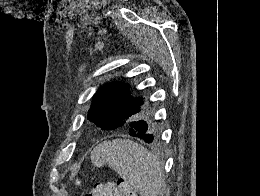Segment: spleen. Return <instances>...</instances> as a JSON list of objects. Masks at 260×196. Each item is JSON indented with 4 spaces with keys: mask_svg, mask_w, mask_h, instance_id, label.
Segmentation results:
<instances>
[{
    "mask_svg": "<svg viewBox=\"0 0 260 196\" xmlns=\"http://www.w3.org/2000/svg\"><path fill=\"white\" fill-rule=\"evenodd\" d=\"M95 168L108 166L123 178L139 196H157L163 188L164 172L156 156L141 144L116 138L105 140L91 152Z\"/></svg>",
    "mask_w": 260,
    "mask_h": 196,
    "instance_id": "1",
    "label": "spleen"
}]
</instances>
